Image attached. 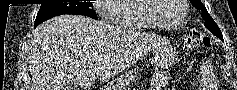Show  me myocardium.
Listing matches in <instances>:
<instances>
[{
	"instance_id": "1",
	"label": "myocardium",
	"mask_w": 237,
	"mask_h": 90,
	"mask_svg": "<svg viewBox=\"0 0 237 90\" xmlns=\"http://www.w3.org/2000/svg\"><path fill=\"white\" fill-rule=\"evenodd\" d=\"M188 2L189 0L175 1V3H177L180 6L181 17L176 24L170 25V26L161 24L154 18L153 16L154 12L156 11V9L159 8L157 0H143V3H138V7L142 9V18H147L153 26L165 31H174V30H177L185 21L186 14H187V6L185 3H188Z\"/></svg>"
}]
</instances>
